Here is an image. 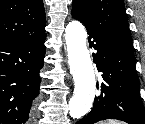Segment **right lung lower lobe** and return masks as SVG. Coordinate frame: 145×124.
<instances>
[{"mask_svg":"<svg viewBox=\"0 0 145 124\" xmlns=\"http://www.w3.org/2000/svg\"><path fill=\"white\" fill-rule=\"evenodd\" d=\"M45 31L0 42V123L25 124L39 98Z\"/></svg>","mask_w":145,"mask_h":124,"instance_id":"obj_1","label":"right lung lower lobe"}]
</instances>
